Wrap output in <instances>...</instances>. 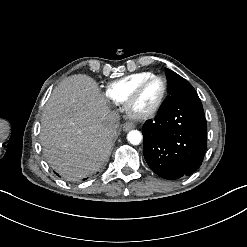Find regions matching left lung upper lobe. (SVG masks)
Masks as SVG:
<instances>
[{"label": "left lung upper lobe", "mask_w": 247, "mask_h": 247, "mask_svg": "<svg viewBox=\"0 0 247 247\" xmlns=\"http://www.w3.org/2000/svg\"><path fill=\"white\" fill-rule=\"evenodd\" d=\"M167 78H168V93L169 95L166 97L161 107L170 103L173 100L183 99V98H191L198 97L195 89L191 86V84L182 78L177 73L167 69Z\"/></svg>", "instance_id": "obj_1"}]
</instances>
